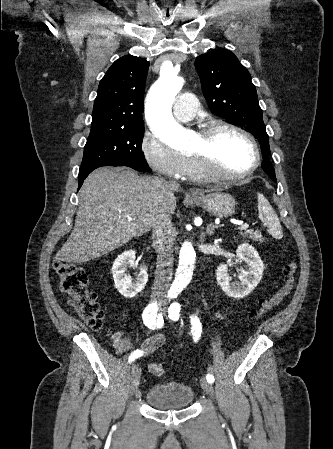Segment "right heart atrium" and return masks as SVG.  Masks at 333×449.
Returning <instances> with one entry per match:
<instances>
[{"label": "right heart atrium", "instance_id": "obj_1", "mask_svg": "<svg viewBox=\"0 0 333 449\" xmlns=\"http://www.w3.org/2000/svg\"><path fill=\"white\" fill-rule=\"evenodd\" d=\"M144 160L158 174L169 178H181L186 166V157L173 149L152 132L147 131L141 141Z\"/></svg>", "mask_w": 333, "mask_h": 449}]
</instances>
